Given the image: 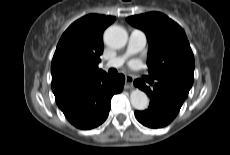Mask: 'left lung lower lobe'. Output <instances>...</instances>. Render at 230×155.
<instances>
[{
	"instance_id": "0a47b994",
	"label": "left lung lower lobe",
	"mask_w": 230,
	"mask_h": 155,
	"mask_svg": "<svg viewBox=\"0 0 230 155\" xmlns=\"http://www.w3.org/2000/svg\"><path fill=\"white\" fill-rule=\"evenodd\" d=\"M134 85L150 97L147 110L135 111L137 120L150 128L167 126L177 116L188 96L184 90L158 81L153 88L146 86L141 79H136Z\"/></svg>"
}]
</instances>
